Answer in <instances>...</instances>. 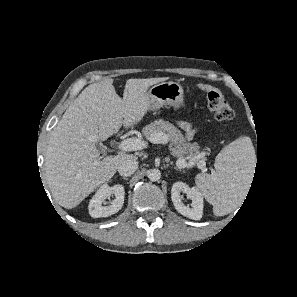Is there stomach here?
Returning <instances> with one entry per match:
<instances>
[{
    "label": "stomach",
    "instance_id": "1",
    "mask_svg": "<svg viewBox=\"0 0 297 297\" xmlns=\"http://www.w3.org/2000/svg\"><path fill=\"white\" fill-rule=\"evenodd\" d=\"M149 110L156 111L164 105H171L176 108L185 106L183 87L173 81L162 82L152 86L148 90Z\"/></svg>",
    "mask_w": 297,
    "mask_h": 297
}]
</instances>
